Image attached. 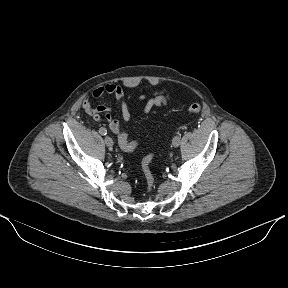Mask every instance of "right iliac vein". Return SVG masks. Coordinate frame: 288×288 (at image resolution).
I'll use <instances>...</instances> for the list:
<instances>
[{"mask_svg":"<svg viewBox=\"0 0 288 288\" xmlns=\"http://www.w3.org/2000/svg\"><path fill=\"white\" fill-rule=\"evenodd\" d=\"M104 141H105V144H106L108 147H112L113 144H114V142H113V140H112V138H111L110 136H106L105 139H104Z\"/></svg>","mask_w":288,"mask_h":288,"instance_id":"right-iliac-vein-1","label":"right iliac vein"}]
</instances>
